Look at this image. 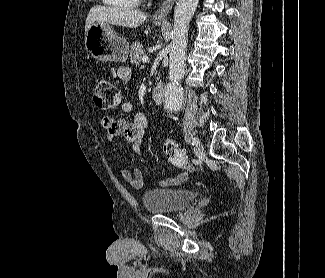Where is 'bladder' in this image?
Masks as SVG:
<instances>
[{
    "instance_id": "bladder-1",
    "label": "bladder",
    "mask_w": 325,
    "mask_h": 278,
    "mask_svg": "<svg viewBox=\"0 0 325 278\" xmlns=\"http://www.w3.org/2000/svg\"><path fill=\"white\" fill-rule=\"evenodd\" d=\"M194 198L195 193L187 188H156L145 192L142 202L148 213L165 215L184 210Z\"/></svg>"
}]
</instances>
